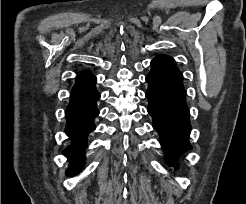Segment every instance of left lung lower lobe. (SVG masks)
<instances>
[{
	"label": "left lung lower lobe",
	"mask_w": 246,
	"mask_h": 204,
	"mask_svg": "<svg viewBox=\"0 0 246 204\" xmlns=\"http://www.w3.org/2000/svg\"><path fill=\"white\" fill-rule=\"evenodd\" d=\"M182 79L174 59L167 55H158L151 61V70L146 77L148 113L172 166H176L180 153L191 148L188 142L191 125Z\"/></svg>",
	"instance_id": "left-lung-lower-lobe-1"
}]
</instances>
